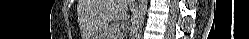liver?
<instances>
[{
  "label": "liver",
  "instance_id": "6515ba94",
  "mask_svg": "<svg viewBox=\"0 0 249 39\" xmlns=\"http://www.w3.org/2000/svg\"><path fill=\"white\" fill-rule=\"evenodd\" d=\"M129 0H80L78 12L84 30L83 37L89 39L95 30L103 28L108 22L127 19Z\"/></svg>",
  "mask_w": 249,
  "mask_h": 39
}]
</instances>
